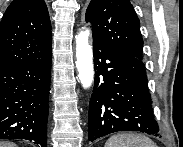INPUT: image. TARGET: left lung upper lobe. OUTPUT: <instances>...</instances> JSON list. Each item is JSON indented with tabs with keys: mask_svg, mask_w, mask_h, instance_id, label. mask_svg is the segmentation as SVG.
Listing matches in <instances>:
<instances>
[{
	"mask_svg": "<svg viewBox=\"0 0 183 147\" xmlns=\"http://www.w3.org/2000/svg\"><path fill=\"white\" fill-rule=\"evenodd\" d=\"M85 19L93 39L142 60L140 21L129 0H91Z\"/></svg>",
	"mask_w": 183,
	"mask_h": 147,
	"instance_id": "5c2ea615",
	"label": "left lung upper lobe"
}]
</instances>
